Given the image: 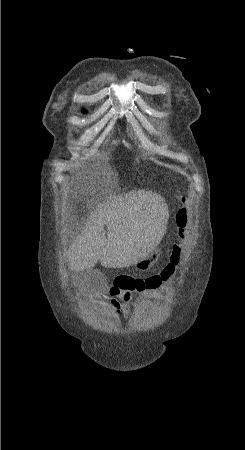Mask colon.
Instances as JSON below:
<instances>
[{"label":"colon","instance_id":"colon-1","mask_svg":"<svg viewBox=\"0 0 245 450\" xmlns=\"http://www.w3.org/2000/svg\"><path fill=\"white\" fill-rule=\"evenodd\" d=\"M185 204V200L183 201ZM177 233L180 241L183 243L188 238L190 230V216L185 209L181 210L176 216ZM183 249L181 244H175L172 248L168 265L175 267L182 260ZM144 279L142 277L126 276L120 278L117 284L124 290L134 293L144 286Z\"/></svg>","mask_w":245,"mask_h":450}]
</instances>
